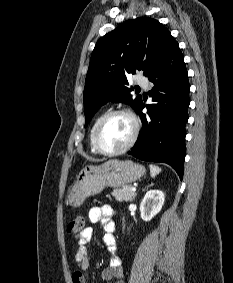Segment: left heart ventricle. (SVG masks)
<instances>
[{"mask_svg":"<svg viewBox=\"0 0 233 283\" xmlns=\"http://www.w3.org/2000/svg\"><path fill=\"white\" fill-rule=\"evenodd\" d=\"M133 123L126 115H115L104 125L99 142L107 151H115L122 148L131 138Z\"/></svg>","mask_w":233,"mask_h":283,"instance_id":"obj_1","label":"left heart ventricle"}]
</instances>
